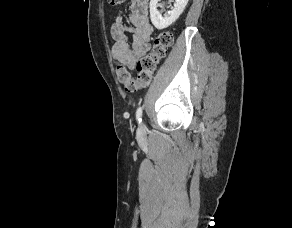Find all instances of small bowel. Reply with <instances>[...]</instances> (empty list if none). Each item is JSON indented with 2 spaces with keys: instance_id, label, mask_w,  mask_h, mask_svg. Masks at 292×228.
I'll use <instances>...</instances> for the list:
<instances>
[{
  "instance_id": "small-bowel-1",
  "label": "small bowel",
  "mask_w": 292,
  "mask_h": 228,
  "mask_svg": "<svg viewBox=\"0 0 292 228\" xmlns=\"http://www.w3.org/2000/svg\"><path fill=\"white\" fill-rule=\"evenodd\" d=\"M148 3L149 0H131L127 20L119 14L111 27L113 58L126 69H134L137 59L150 49L153 26L148 17Z\"/></svg>"
}]
</instances>
